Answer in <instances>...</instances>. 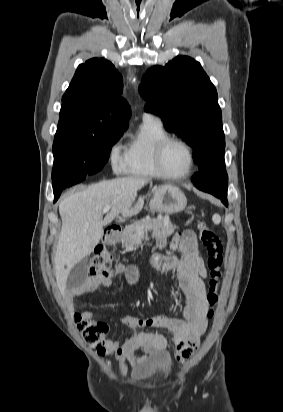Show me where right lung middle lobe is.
<instances>
[{"label":"right lung middle lobe","instance_id":"right-lung-middle-lobe-1","mask_svg":"<svg viewBox=\"0 0 283 412\" xmlns=\"http://www.w3.org/2000/svg\"><path fill=\"white\" fill-rule=\"evenodd\" d=\"M123 132L96 133L73 119L59 120L53 143L52 180L86 176L107 162Z\"/></svg>","mask_w":283,"mask_h":412}]
</instances>
